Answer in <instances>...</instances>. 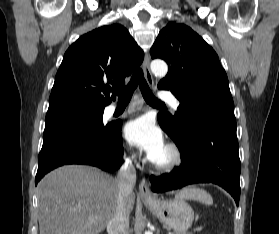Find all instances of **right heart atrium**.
Segmentation results:
<instances>
[{"label": "right heart atrium", "instance_id": "right-heart-atrium-1", "mask_svg": "<svg viewBox=\"0 0 279 234\" xmlns=\"http://www.w3.org/2000/svg\"><path fill=\"white\" fill-rule=\"evenodd\" d=\"M123 158L127 163L131 164L135 160V153L133 152L132 149L127 148L123 153Z\"/></svg>", "mask_w": 279, "mask_h": 234}]
</instances>
